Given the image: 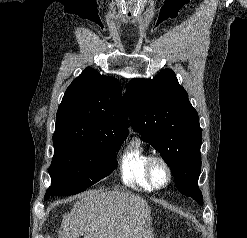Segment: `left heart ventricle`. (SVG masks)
Masks as SVG:
<instances>
[{
  "instance_id": "left-heart-ventricle-1",
  "label": "left heart ventricle",
  "mask_w": 247,
  "mask_h": 238,
  "mask_svg": "<svg viewBox=\"0 0 247 238\" xmlns=\"http://www.w3.org/2000/svg\"><path fill=\"white\" fill-rule=\"evenodd\" d=\"M153 176L157 183L162 184L165 182L167 174L161 165H156L153 169Z\"/></svg>"
}]
</instances>
